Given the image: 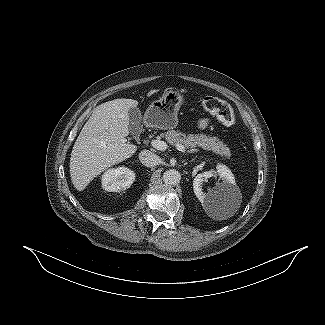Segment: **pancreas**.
Masks as SVG:
<instances>
[{"label":"pancreas","instance_id":"obj_1","mask_svg":"<svg viewBox=\"0 0 325 325\" xmlns=\"http://www.w3.org/2000/svg\"><path fill=\"white\" fill-rule=\"evenodd\" d=\"M164 136L166 141L171 145L181 144L185 148L191 149L198 146L204 150H211L224 158H230L231 156L230 149L217 137H210L203 133L186 135L176 130H169Z\"/></svg>","mask_w":325,"mask_h":325}]
</instances>
